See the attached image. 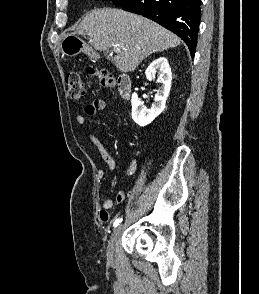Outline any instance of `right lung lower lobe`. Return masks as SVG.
<instances>
[{
  "mask_svg": "<svg viewBox=\"0 0 259 294\" xmlns=\"http://www.w3.org/2000/svg\"><path fill=\"white\" fill-rule=\"evenodd\" d=\"M200 4L201 0H127L120 7L141 14L178 35L193 57L200 24Z\"/></svg>",
  "mask_w": 259,
  "mask_h": 294,
  "instance_id": "right-lung-lower-lobe-1",
  "label": "right lung lower lobe"
}]
</instances>
